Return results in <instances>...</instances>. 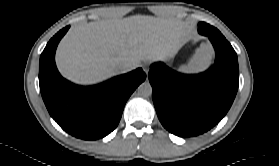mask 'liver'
<instances>
[{"mask_svg":"<svg viewBox=\"0 0 279 166\" xmlns=\"http://www.w3.org/2000/svg\"><path fill=\"white\" fill-rule=\"evenodd\" d=\"M184 25L173 18L135 15L74 26L60 42L61 74L78 84H94L119 74L128 62L165 60L182 46Z\"/></svg>","mask_w":279,"mask_h":166,"instance_id":"obj_1","label":"liver"}]
</instances>
